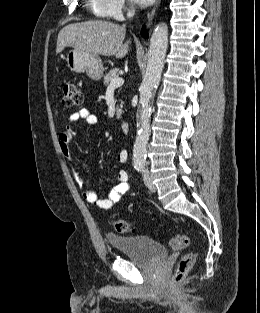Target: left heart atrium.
Instances as JSON below:
<instances>
[{"label": "left heart atrium", "instance_id": "1", "mask_svg": "<svg viewBox=\"0 0 260 313\" xmlns=\"http://www.w3.org/2000/svg\"><path fill=\"white\" fill-rule=\"evenodd\" d=\"M132 1L135 4L142 6V7L148 6L153 2V0H132Z\"/></svg>", "mask_w": 260, "mask_h": 313}]
</instances>
